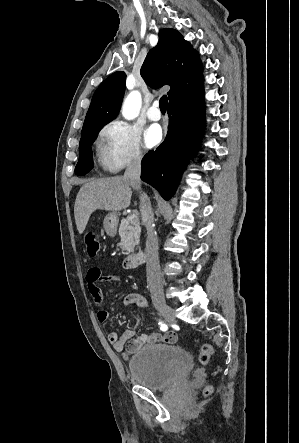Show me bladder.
<instances>
[{"instance_id":"obj_1","label":"bladder","mask_w":299,"mask_h":443,"mask_svg":"<svg viewBox=\"0 0 299 443\" xmlns=\"http://www.w3.org/2000/svg\"><path fill=\"white\" fill-rule=\"evenodd\" d=\"M193 369L191 354L175 344H155L142 348L129 362L133 380L148 389L160 390L189 377Z\"/></svg>"}]
</instances>
